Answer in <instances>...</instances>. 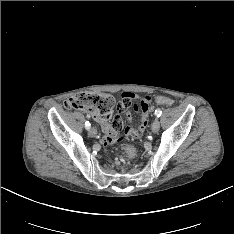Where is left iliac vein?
Returning a JSON list of instances; mask_svg holds the SVG:
<instances>
[{
  "mask_svg": "<svg viewBox=\"0 0 234 234\" xmlns=\"http://www.w3.org/2000/svg\"><path fill=\"white\" fill-rule=\"evenodd\" d=\"M159 129H160V122L156 118L152 123L151 130L153 133H157L159 131Z\"/></svg>",
  "mask_w": 234,
  "mask_h": 234,
  "instance_id": "obj_1",
  "label": "left iliac vein"
}]
</instances>
